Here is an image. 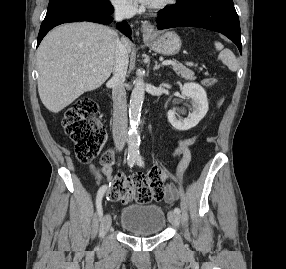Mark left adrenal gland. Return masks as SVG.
Listing matches in <instances>:
<instances>
[{"instance_id":"a2214340","label":"left adrenal gland","mask_w":286,"mask_h":269,"mask_svg":"<svg viewBox=\"0 0 286 269\" xmlns=\"http://www.w3.org/2000/svg\"><path fill=\"white\" fill-rule=\"evenodd\" d=\"M160 67H161V65L158 64L157 61H155V66H154L153 70L155 71V70L159 69Z\"/></svg>"}]
</instances>
